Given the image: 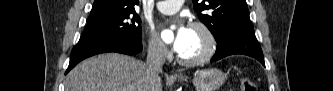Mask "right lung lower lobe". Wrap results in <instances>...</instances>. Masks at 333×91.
Here are the masks:
<instances>
[{
    "mask_svg": "<svg viewBox=\"0 0 333 91\" xmlns=\"http://www.w3.org/2000/svg\"><path fill=\"white\" fill-rule=\"evenodd\" d=\"M141 40H132L118 34H82L73 48L66 74L80 61L100 53L118 52L134 55L142 50Z\"/></svg>",
    "mask_w": 333,
    "mask_h": 91,
    "instance_id": "1",
    "label": "right lung lower lobe"
}]
</instances>
